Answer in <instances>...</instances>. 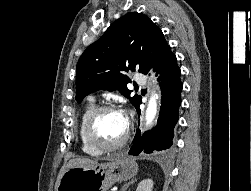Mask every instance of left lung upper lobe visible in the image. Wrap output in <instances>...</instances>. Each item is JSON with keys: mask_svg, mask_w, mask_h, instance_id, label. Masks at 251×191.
Masks as SVG:
<instances>
[{"mask_svg": "<svg viewBox=\"0 0 251 191\" xmlns=\"http://www.w3.org/2000/svg\"><path fill=\"white\" fill-rule=\"evenodd\" d=\"M170 49L162 31L150 18L136 12L114 21L103 36L87 47L78 60L76 100L99 90H119L135 106L141 96L130 97L124 74L128 70L147 74Z\"/></svg>", "mask_w": 251, "mask_h": 191, "instance_id": "5c2ea615", "label": "left lung upper lobe"}]
</instances>
